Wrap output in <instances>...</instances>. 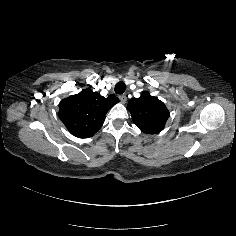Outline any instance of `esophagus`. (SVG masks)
Wrapping results in <instances>:
<instances>
[{
  "mask_svg": "<svg viewBox=\"0 0 236 236\" xmlns=\"http://www.w3.org/2000/svg\"><path fill=\"white\" fill-rule=\"evenodd\" d=\"M119 99L121 100V102H122L123 104L126 103V100H127L126 94L120 95V96H119Z\"/></svg>",
  "mask_w": 236,
  "mask_h": 236,
  "instance_id": "34e87169",
  "label": "esophagus"
}]
</instances>
